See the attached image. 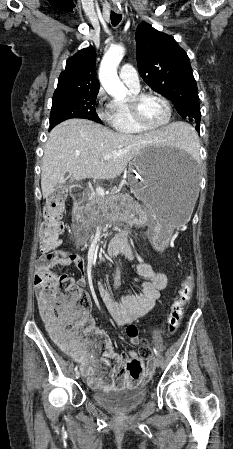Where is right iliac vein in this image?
Instances as JSON below:
<instances>
[{
    "label": "right iliac vein",
    "instance_id": "right-iliac-vein-1",
    "mask_svg": "<svg viewBox=\"0 0 233 449\" xmlns=\"http://www.w3.org/2000/svg\"><path fill=\"white\" fill-rule=\"evenodd\" d=\"M79 377H80V372H79V371H76V372H75V378H76V379H79Z\"/></svg>",
    "mask_w": 233,
    "mask_h": 449
}]
</instances>
